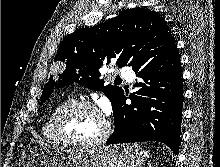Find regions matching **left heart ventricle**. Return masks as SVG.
Here are the masks:
<instances>
[{
    "instance_id": "b2bd125f",
    "label": "left heart ventricle",
    "mask_w": 220,
    "mask_h": 167,
    "mask_svg": "<svg viewBox=\"0 0 220 167\" xmlns=\"http://www.w3.org/2000/svg\"><path fill=\"white\" fill-rule=\"evenodd\" d=\"M103 123L99 114L85 107L73 109L63 122L66 135L76 140H91L99 136Z\"/></svg>"
}]
</instances>
